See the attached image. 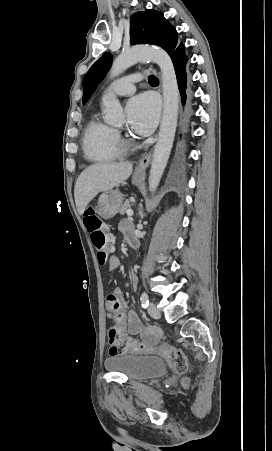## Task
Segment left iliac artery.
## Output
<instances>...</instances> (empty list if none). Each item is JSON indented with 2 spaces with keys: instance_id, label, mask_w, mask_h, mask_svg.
Here are the masks:
<instances>
[{
  "instance_id": "obj_1",
  "label": "left iliac artery",
  "mask_w": 272,
  "mask_h": 451,
  "mask_svg": "<svg viewBox=\"0 0 272 451\" xmlns=\"http://www.w3.org/2000/svg\"><path fill=\"white\" fill-rule=\"evenodd\" d=\"M140 300H141L142 307H143V308H147L148 305H149V297H148V295H147L146 292H143V293L141 294Z\"/></svg>"
}]
</instances>
